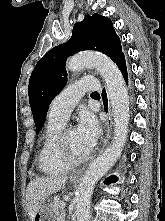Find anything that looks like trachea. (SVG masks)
I'll use <instances>...</instances> for the list:
<instances>
[{"instance_id": "obj_1", "label": "trachea", "mask_w": 165, "mask_h": 221, "mask_svg": "<svg viewBox=\"0 0 165 221\" xmlns=\"http://www.w3.org/2000/svg\"><path fill=\"white\" fill-rule=\"evenodd\" d=\"M92 94H93V95H99V93H98V92H93Z\"/></svg>"}]
</instances>
